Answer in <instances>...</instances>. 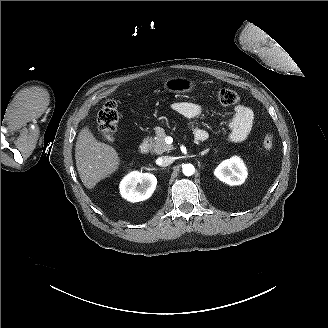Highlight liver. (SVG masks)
<instances>
[{
	"instance_id": "6515ba94",
	"label": "liver",
	"mask_w": 328,
	"mask_h": 328,
	"mask_svg": "<svg viewBox=\"0 0 328 328\" xmlns=\"http://www.w3.org/2000/svg\"><path fill=\"white\" fill-rule=\"evenodd\" d=\"M75 159L80 179L88 189L115 172L120 161L116 150L97 141L88 127L78 134Z\"/></svg>"
}]
</instances>
